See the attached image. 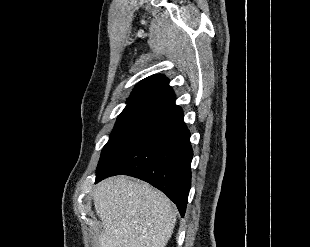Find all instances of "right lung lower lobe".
Here are the masks:
<instances>
[{"mask_svg": "<svg viewBox=\"0 0 310 247\" xmlns=\"http://www.w3.org/2000/svg\"><path fill=\"white\" fill-rule=\"evenodd\" d=\"M192 156L183 111L174 105L144 124L97 170L95 182L119 174L142 179L164 192L183 217L191 188Z\"/></svg>", "mask_w": 310, "mask_h": 247, "instance_id": "98d812e1", "label": "right lung lower lobe"}]
</instances>
